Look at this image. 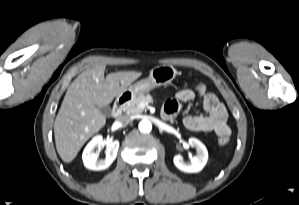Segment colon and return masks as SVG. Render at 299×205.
<instances>
[{"label":"colon","instance_id":"colon-1","mask_svg":"<svg viewBox=\"0 0 299 205\" xmlns=\"http://www.w3.org/2000/svg\"><path fill=\"white\" fill-rule=\"evenodd\" d=\"M195 91L199 95L203 96L206 94L207 89L203 83L197 82L195 85ZM229 140H230L229 134H223L218 137L217 141L220 146H225L226 144H228Z\"/></svg>","mask_w":299,"mask_h":205}]
</instances>
